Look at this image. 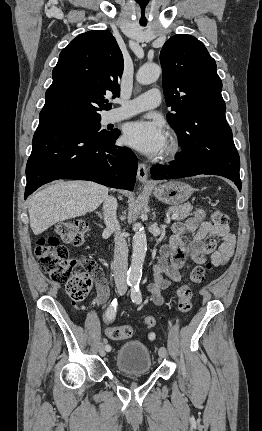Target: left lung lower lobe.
Masks as SVG:
<instances>
[{
    "mask_svg": "<svg viewBox=\"0 0 262 431\" xmlns=\"http://www.w3.org/2000/svg\"><path fill=\"white\" fill-rule=\"evenodd\" d=\"M176 159L170 166L154 165L151 168L153 179H174L199 174L220 175L232 179L241 191L240 160L236 150L231 152L223 151L221 156L208 162L184 160L179 157H176Z\"/></svg>",
    "mask_w": 262,
    "mask_h": 431,
    "instance_id": "left-lung-lower-lobe-1",
    "label": "left lung lower lobe"
}]
</instances>
